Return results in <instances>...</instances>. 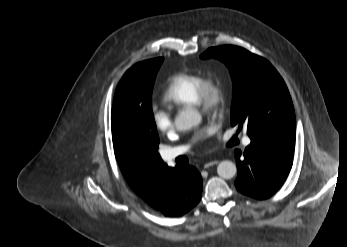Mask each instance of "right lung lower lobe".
<instances>
[{
    "label": "right lung lower lobe",
    "instance_id": "98d812e1",
    "mask_svg": "<svg viewBox=\"0 0 347 247\" xmlns=\"http://www.w3.org/2000/svg\"><path fill=\"white\" fill-rule=\"evenodd\" d=\"M166 196L160 204H149L165 216L177 217L189 212L201 198L202 178L188 164L167 168Z\"/></svg>",
    "mask_w": 347,
    "mask_h": 247
}]
</instances>
